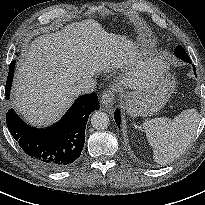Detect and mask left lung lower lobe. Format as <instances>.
Wrapping results in <instances>:
<instances>
[{
    "label": "left lung lower lobe",
    "mask_w": 205,
    "mask_h": 205,
    "mask_svg": "<svg viewBox=\"0 0 205 205\" xmlns=\"http://www.w3.org/2000/svg\"><path fill=\"white\" fill-rule=\"evenodd\" d=\"M189 63H191V62H189ZM193 69H194V72H196V69H195V66L193 65ZM195 76H196V73H195ZM114 119H115V121H116V124H117V126L118 127H120V111H119V109H117L116 111H115V114H114Z\"/></svg>",
    "instance_id": "left-lung-lower-lobe-1"
}]
</instances>
